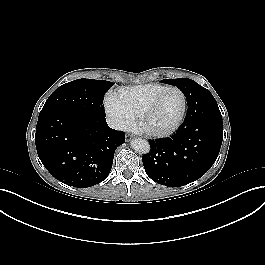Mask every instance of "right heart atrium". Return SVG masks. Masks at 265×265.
<instances>
[{
	"label": "right heart atrium",
	"instance_id": "1",
	"mask_svg": "<svg viewBox=\"0 0 265 265\" xmlns=\"http://www.w3.org/2000/svg\"><path fill=\"white\" fill-rule=\"evenodd\" d=\"M105 110L118 129H129L134 126L135 118L122 103L117 92H109L104 100Z\"/></svg>",
	"mask_w": 265,
	"mask_h": 265
}]
</instances>
